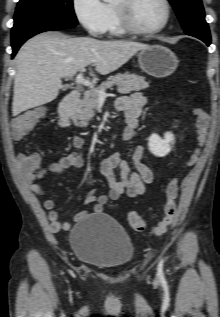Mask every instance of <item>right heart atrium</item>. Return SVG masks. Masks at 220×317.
<instances>
[{"mask_svg":"<svg viewBox=\"0 0 220 317\" xmlns=\"http://www.w3.org/2000/svg\"><path fill=\"white\" fill-rule=\"evenodd\" d=\"M74 14L83 28L93 36L106 32L108 9L101 0H72Z\"/></svg>","mask_w":220,"mask_h":317,"instance_id":"d8ad5b80","label":"right heart atrium"}]
</instances>
